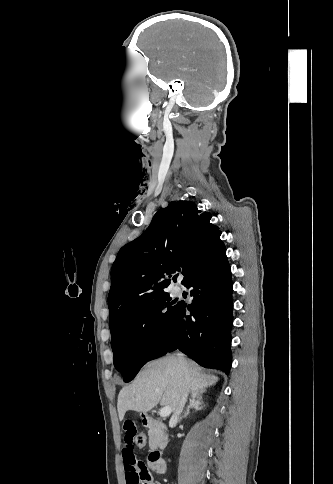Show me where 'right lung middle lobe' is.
<instances>
[{
  "mask_svg": "<svg viewBox=\"0 0 333 484\" xmlns=\"http://www.w3.org/2000/svg\"><path fill=\"white\" fill-rule=\"evenodd\" d=\"M179 307L166 294L138 307L110 328L114 366L125 382L131 381L150 360L171 328Z\"/></svg>",
  "mask_w": 333,
  "mask_h": 484,
  "instance_id": "obj_1",
  "label": "right lung middle lobe"
}]
</instances>
